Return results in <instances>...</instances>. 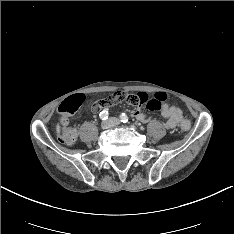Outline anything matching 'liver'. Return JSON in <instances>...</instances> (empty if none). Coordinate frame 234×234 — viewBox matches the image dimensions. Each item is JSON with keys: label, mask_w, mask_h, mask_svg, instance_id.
Instances as JSON below:
<instances>
[{"label": "liver", "mask_w": 234, "mask_h": 234, "mask_svg": "<svg viewBox=\"0 0 234 234\" xmlns=\"http://www.w3.org/2000/svg\"><path fill=\"white\" fill-rule=\"evenodd\" d=\"M56 131H57V134L59 135L60 134V125L59 124H57V126H56Z\"/></svg>", "instance_id": "liver-1"}]
</instances>
